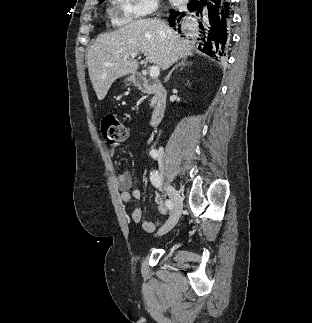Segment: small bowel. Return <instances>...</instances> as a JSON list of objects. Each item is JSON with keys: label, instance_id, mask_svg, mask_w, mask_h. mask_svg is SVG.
<instances>
[{"label": "small bowel", "instance_id": "1", "mask_svg": "<svg viewBox=\"0 0 312 323\" xmlns=\"http://www.w3.org/2000/svg\"><path fill=\"white\" fill-rule=\"evenodd\" d=\"M116 152L115 148L109 150L110 155H114ZM133 178L129 172H122L117 175L116 185L120 191V198L123 203L131 205V215L130 219L134 224H140L144 231L153 232L162 222L161 218H157L153 221H142V210L133 204L134 200H138L141 197V192L139 189H133ZM155 202L157 210L161 216H166L168 214V209L164 205L161 198L156 195Z\"/></svg>", "mask_w": 312, "mask_h": 323}]
</instances>
